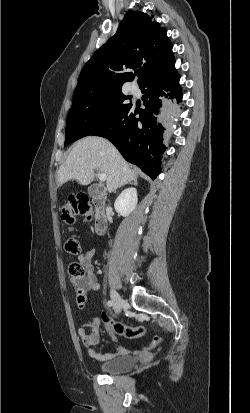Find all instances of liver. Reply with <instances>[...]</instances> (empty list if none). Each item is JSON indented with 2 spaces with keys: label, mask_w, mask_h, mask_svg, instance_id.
I'll return each mask as SVG.
<instances>
[{
  "label": "liver",
  "mask_w": 250,
  "mask_h": 413,
  "mask_svg": "<svg viewBox=\"0 0 250 413\" xmlns=\"http://www.w3.org/2000/svg\"><path fill=\"white\" fill-rule=\"evenodd\" d=\"M95 170L106 175L109 192L137 179L116 148L105 138L87 136L74 144L66 161L59 167L57 186L76 180L80 185L90 184Z\"/></svg>",
  "instance_id": "6515ba94"
}]
</instances>
